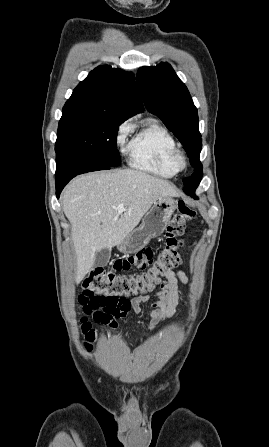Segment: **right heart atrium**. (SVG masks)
I'll return each instance as SVG.
<instances>
[{
  "mask_svg": "<svg viewBox=\"0 0 269 447\" xmlns=\"http://www.w3.org/2000/svg\"><path fill=\"white\" fill-rule=\"evenodd\" d=\"M131 130H132V125L128 120L122 122L118 126V128L116 130V135H115V142L118 146L123 145V143L125 142L127 136L131 132Z\"/></svg>",
  "mask_w": 269,
  "mask_h": 447,
  "instance_id": "right-heart-atrium-1",
  "label": "right heart atrium"
}]
</instances>
